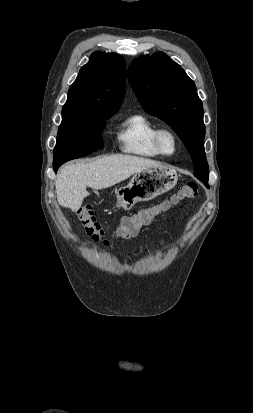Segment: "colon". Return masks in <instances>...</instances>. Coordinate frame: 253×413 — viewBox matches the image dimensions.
Returning a JSON list of instances; mask_svg holds the SVG:
<instances>
[{
	"instance_id": "obj_1",
	"label": "colon",
	"mask_w": 253,
	"mask_h": 413,
	"mask_svg": "<svg viewBox=\"0 0 253 413\" xmlns=\"http://www.w3.org/2000/svg\"><path fill=\"white\" fill-rule=\"evenodd\" d=\"M198 194V185L194 181L186 182L180 190L170 198L150 207L143 208L138 212L124 216L121 224L114 233L117 240H126L135 236L139 229L153 222L156 217L168 210L172 205L182 199H193ZM78 218L84 227L86 234L95 242H101L108 246L110 241L105 238L101 225L96 221L90 206H83L77 211Z\"/></svg>"
}]
</instances>
